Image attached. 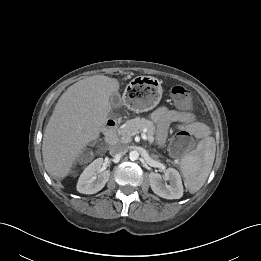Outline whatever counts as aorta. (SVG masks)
<instances>
[{
	"label": "aorta",
	"mask_w": 261,
	"mask_h": 261,
	"mask_svg": "<svg viewBox=\"0 0 261 261\" xmlns=\"http://www.w3.org/2000/svg\"><path fill=\"white\" fill-rule=\"evenodd\" d=\"M129 158H130V160H132V161L138 160V158H139V153H138V151H135V150L131 151V152L129 153Z\"/></svg>",
	"instance_id": "aorta-1"
}]
</instances>
